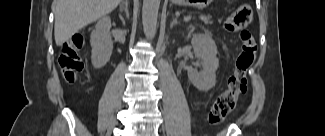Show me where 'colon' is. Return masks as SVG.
I'll use <instances>...</instances> for the list:
<instances>
[{"mask_svg":"<svg viewBox=\"0 0 325 136\" xmlns=\"http://www.w3.org/2000/svg\"><path fill=\"white\" fill-rule=\"evenodd\" d=\"M248 16V12L242 10L234 18L236 26L241 28V51L236 61L235 71L227 81L226 90L217 97L209 111L208 121L211 125L219 124L234 108L238 97L246 92L248 71L254 63L257 50L253 35L245 28ZM83 44V37L77 36L62 46L59 64L67 82H73L83 69L80 56Z\"/></svg>","mask_w":325,"mask_h":136,"instance_id":"colon-1","label":"colon"}]
</instances>
